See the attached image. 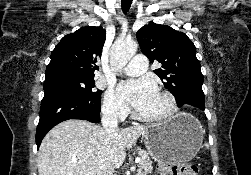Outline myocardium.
Masks as SVG:
<instances>
[{
  "instance_id": "f54148a6",
  "label": "myocardium",
  "mask_w": 251,
  "mask_h": 175,
  "mask_svg": "<svg viewBox=\"0 0 251 175\" xmlns=\"http://www.w3.org/2000/svg\"><path fill=\"white\" fill-rule=\"evenodd\" d=\"M159 94L165 98L168 103V110L161 114L155 116L142 115V118L149 122H169L176 118L180 112V104L176 95L167 89L160 90Z\"/></svg>"
}]
</instances>
